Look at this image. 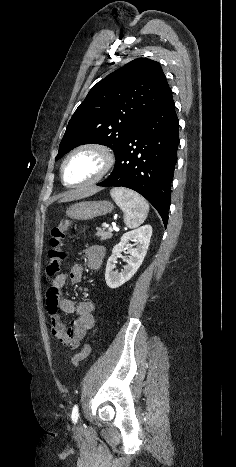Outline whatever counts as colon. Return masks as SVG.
I'll list each match as a JSON object with an SVG mask.
<instances>
[{"instance_id": "obj_1", "label": "colon", "mask_w": 236, "mask_h": 467, "mask_svg": "<svg viewBox=\"0 0 236 467\" xmlns=\"http://www.w3.org/2000/svg\"><path fill=\"white\" fill-rule=\"evenodd\" d=\"M73 226H75L73 221L64 219L51 230L50 247L46 264V274L49 277H56L61 270V265L66 257L63 249V239L65 238L66 231ZM90 351V345L86 343L82 350L73 356L72 364L78 366L81 361L89 356Z\"/></svg>"}]
</instances>
